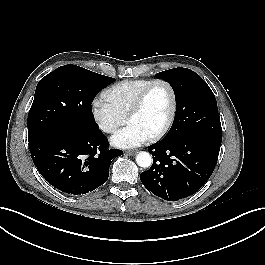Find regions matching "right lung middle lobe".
Listing matches in <instances>:
<instances>
[{
  "mask_svg": "<svg viewBox=\"0 0 265 265\" xmlns=\"http://www.w3.org/2000/svg\"><path fill=\"white\" fill-rule=\"evenodd\" d=\"M114 80L76 65L47 74L37 84L28 114V139L67 130H98L91 103Z\"/></svg>",
  "mask_w": 265,
  "mask_h": 265,
  "instance_id": "right-lung-middle-lobe-1",
  "label": "right lung middle lobe"
}]
</instances>
